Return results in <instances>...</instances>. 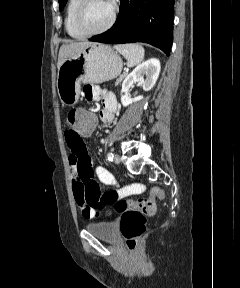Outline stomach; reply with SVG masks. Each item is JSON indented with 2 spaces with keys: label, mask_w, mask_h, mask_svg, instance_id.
<instances>
[{
  "label": "stomach",
  "mask_w": 240,
  "mask_h": 288,
  "mask_svg": "<svg viewBox=\"0 0 240 288\" xmlns=\"http://www.w3.org/2000/svg\"><path fill=\"white\" fill-rule=\"evenodd\" d=\"M121 57L110 46L91 43L81 52L69 57L58 69L56 87L63 105L77 103L81 84H99L120 75Z\"/></svg>",
  "instance_id": "0dacf381"
}]
</instances>
